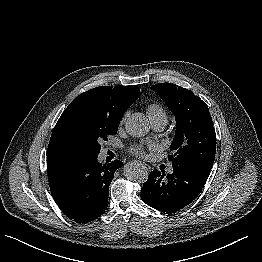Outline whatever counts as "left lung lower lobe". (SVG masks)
Returning <instances> with one entry per match:
<instances>
[{"label": "left lung lower lobe", "mask_w": 262, "mask_h": 262, "mask_svg": "<svg viewBox=\"0 0 262 262\" xmlns=\"http://www.w3.org/2000/svg\"><path fill=\"white\" fill-rule=\"evenodd\" d=\"M171 175L154 170L141 189V199L150 207L173 213L190 204L201 192L209 175L173 168Z\"/></svg>", "instance_id": "0a47b994"}]
</instances>
